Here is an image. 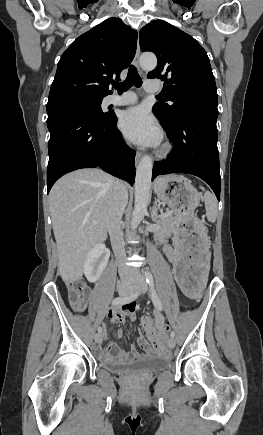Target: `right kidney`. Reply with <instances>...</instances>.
I'll list each match as a JSON object with an SVG mask.
<instances>
[{
  "mask_svg": "<svg viewBox=\"0 0 263 435\" xmlns=\"http://www.w3.org/2000/svg\"><path fill=\"white\" fill-rule=\"evenodd\" d=\"M109 257L110 252L103 244L94 246L88 252L84 263V274L89 282H95L100 278Z\"/></svg>",
  "mask_w": 263,
  "mask_h": 435,
  "instance_id": "ca27d5eb",
  "label": "right kidney"
}]
</instances>
